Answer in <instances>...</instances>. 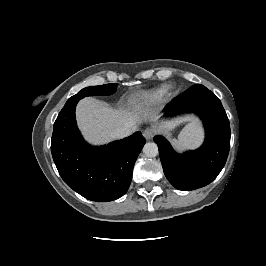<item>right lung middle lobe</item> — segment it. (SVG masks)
<instances>
[{
	"mask_svg": "<svg viewBox=\"0 0 266 266\" xmlns=\"http://www.w3.org/2000/svg\"><path fill=\"white\" fill-rule=\"evenodd\" d=\"M117 85H118L117 83H111L101 86H91L84 88L81 91H79L76 95L70 97L67 100L65 106L73 102L79 101L80 99L86 96L111 95L116 92Z\"/></svg>",
	"mask_w": 266,
	"mask_h": 266,
	"instance_id": "obj_1",
	"label": "right lung middle lobe"
}]
</instances>
